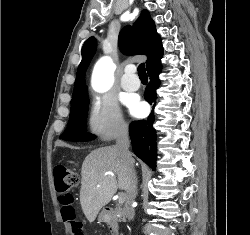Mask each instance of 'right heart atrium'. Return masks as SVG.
<instances>
[{"instance_id":"right-heart-atrium-1","label":"right heart atrium","mask_w":250,"mask_h":235,"mask_svg":"<svg viewBox=\"0 0 250 235\" xmlns=\"http://www.w3.org/2000/svg\"><path fill=\"white\" fill-rule=\"evenodd\" d=\"M88 128L93 135L116 139L128 134V124L117 104L102 96L95 97L88 113Z\"/></svg>"}]
</instances>
